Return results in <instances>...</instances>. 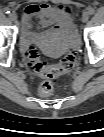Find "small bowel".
<instances>
[{
  "label": "small bowel",
  "instance_id": "small-bowel-1",
  "mask_svg": "<svg viewBox=\"0 0 104 137\" xmlns=\"http://www.w3.org/2000/svg\"><path fill=\"white\" fill-rule=\"evenodd\" d=\"M38 18L42 27H52L56 31L70 30L73 26V14L63 5L31 4L23 12L22 23L24 43H30L35 34L32 31L33 19Z\"/></svg>",
  "mask_w": 104,
  "mask_h": 137
}]
</instances>
